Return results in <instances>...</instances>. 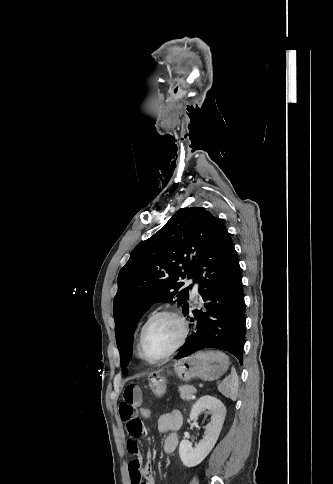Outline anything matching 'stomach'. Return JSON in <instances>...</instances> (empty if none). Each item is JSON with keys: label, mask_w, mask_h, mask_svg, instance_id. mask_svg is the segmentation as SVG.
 I'll return each instance as SVG.
<instances>
[{"label": "stomach", "mask_w": 333, "mask_h": 484, "mask_svg": "<svg viewBox=\"0 0 333 484\" xmlns=\"http://www.w3.org/2000/svg\"><path fill=\"white\" fill-rule=\"evenodd\" d=\"M229 360L219 351L197 352L180 358L174 362V373L183 382L194 378L213 381L218 379L227 369ZM166 372L154 371L149 374V386L152 392L161 397L166 391Z\"/></svg>", "instance_id": "stomach-1"}]
</instances>
